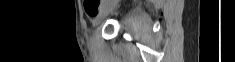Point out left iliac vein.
<instances>
[{"label": "left iliac vein", "mask_w": 235, "mask_h": 62, "mask_svg": "<svg viewBox=\"0 0 235 62\" xmlns=\"http://www.w3.org/2000/svg\"><path fill=\"white\" fill-rule=\"evenodd\" d=\"M117 6V0L112 3L105 4L99 15L94 19L93 25L98 26L106 17L107 15L113 11V9Z\"/></svg>", "instance_id": "left-iliac-vein-1"}]
</instances>
